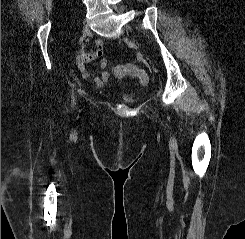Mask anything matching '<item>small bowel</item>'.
<instances>
[{
  "instance_id": "c3829d8e",
  "label": "small bowel",
  "mask_w": 245,
  "mask_h": 239,
  "mask_svg": "<svg viewBox=\"0 0 245 239\" xmlns=\"http://www.w3.org/2000/svg\"><path fill=\"white\" fill-rule=\"evenodd\" d=\"M103 54V41L98 39L95 41V47L89 52L80 51L76 55V65L85 79H91L97 88H101L109 83L112 79V73L107 70L109 61L107 58H101ZM101 58L98 65L99 74H93L87 68V64Z\"/></svg>"
}]
</instances>
